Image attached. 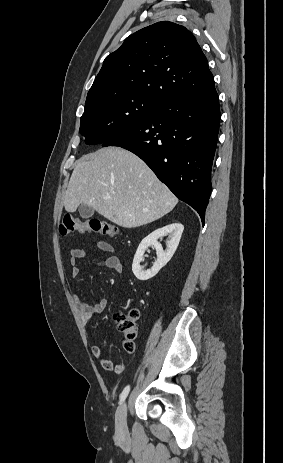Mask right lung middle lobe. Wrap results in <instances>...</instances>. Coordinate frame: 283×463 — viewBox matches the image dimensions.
<instances>
[{"label": "right lung middle lobe", "instance_id": "1", "mask_svg": "<svg viewBox=\"0 0 283 463\" xmlns=\"http://www.w3.org/2000/svg\"><path fill=\"white\" fill-rule=\"evenodd\" d=\"M158 102L132 93H116L85 103L80 133L87 144H99L147 119Z\"/></svg>", "mask_w": 283, "mask_h": 463}]
</instances>
